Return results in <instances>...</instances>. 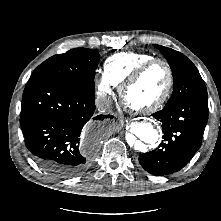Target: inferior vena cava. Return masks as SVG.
I'll return each mask as SVG.
<instances>
[{
    "instance_id": "inferior-vena-cava-1",
    "label": "inferior vena cava",
    "mask_w": 221,
    "mask_h": 221,
    "mask_svg": "<svg viewBox=\"0 0 221 221\" xmlns=\"http://www.w3.org/2000/svg\"><path fill=\"white\" fill-rule=\"evenodd\" d=\"M96 107L101 113L110 112L112 109V100L109 97H100L96 99Z\"/></svg>"
}]
</instances>
